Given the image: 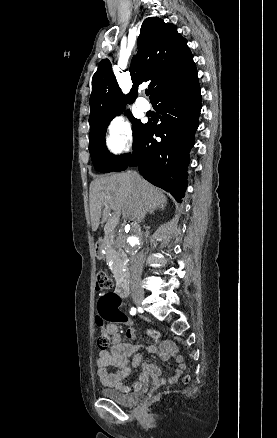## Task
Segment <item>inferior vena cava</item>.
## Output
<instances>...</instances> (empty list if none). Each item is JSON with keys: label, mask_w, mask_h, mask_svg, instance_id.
I'll return each instance as SVG.
<instances>
[{"label": "inferior vena cava", "mask_w": 277, "mask_h": 438, "mask_svg": "<svg viewBox=\"0 0 277 438\" xmlns=\"http://www.w3.org/2000/svg\"><path fill=\"white\" fill-rule=\"evenodd\" d=\"M131 176V184L132 186H136L137 182L141 180V176H139L138 172H129ZM132 274L130 280L131 290H141V274H142V260H137L136 256L132 258Z\"/></svg>", "instance_id": "1"}]
</instances>
